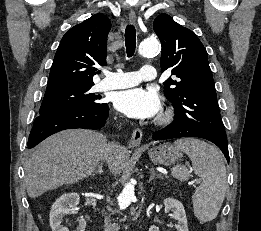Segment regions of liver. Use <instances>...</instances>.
Wrapping results in <instances>:
<instances>
[{
  "instance_id": "obj_1",
  "label": "liver",
  "mask_w": 261,
  "mask_h": 231,
  "mask_svg": "<svg viewBox=\"0 0 261 231\" xmlns=\"http://www.w3.org/2000/svg\"><path fill=\"white\" fill-rule=\"evenodd\" d=\"M106 146V138L90 130H65L50 136L40 143L25 163L28 196L36 198L48 190L92 175ZM126 161V150L118 145L117 152L107 164L113 174H120Z\"/></svg>"
}]
</instances>
